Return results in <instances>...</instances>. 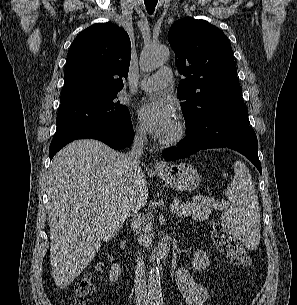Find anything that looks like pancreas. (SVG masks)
Wrapping results in <instances>:
<instances>
[{"label": "pancreas", "instance_id": "pancreas-1", "mask_svg": "<svg viewBox=\"0 0 297 305\" xmlns=\"http://www.w3.org/2000/svg\"><path fill=\"white\" fill-rule=\"evenodd\" d=\"M213 202L210 198L204 196H195L192 201L178 204L177 210L175 211L177 216L188 217L192 216L197 221H202L208 219ZM152 226L150 223L145 227V236L143 238V243L147 246L152 240ZM148 233V234H147Z\"/></svg>", "mask_w": 297, "mask_h": 305}]
</instances>
